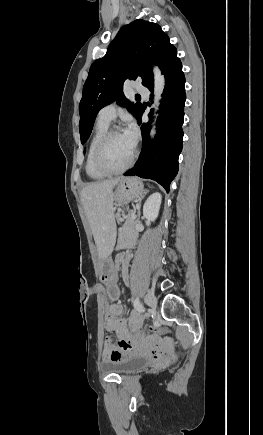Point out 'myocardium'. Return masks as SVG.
<instances>
[{"instance_id": "1", "label": "myocardium", "mask_w": 263, "mask_h": 435, "mask_svg": "<svg viewBox=\"0 0 263 435\" xmlns=\"http://www.w3.org/2000/svg\"><path fill=\"white\" fill-rule=\"evenodd\" d=\"M121 133H122L121 130L117 127L108 128V130L101 136V138L98 140L95 146L94 153H93L94 166L96 167L97 170H99L100 172L106 175L123 173L133 164L136 158L137 151L136 149H134L129 160L119 168H111L104 163L102 159V155L106 144L108 143L109 139L112 136Z\"/></svg>"}]
</instances>
